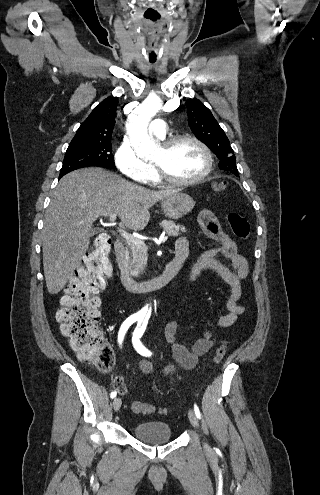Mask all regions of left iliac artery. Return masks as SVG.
<instances>
[{
	"instance_id": "obj_1",
	"label": "left iliac artery",
	"mask_w": 320,
	"mask_h": 495,
	"mask_svg": "<svg viewBox=\"0 0 320 495\" xmlns=\"http://www.w3.org/2000/svg\"><path fill=\"white\" fill-rule=\"evenodd\" d=\"M147 326V320H142L138 323L137 327L135 328L133 332V337H132V343L134 348L138 353H140L143 356H151L152 353L141 343L140 338L142 337L143 333L145 332ZM194 411L196 416L200 419L201 413L198 408V406L195 404L194 405Z\"/></svg>"
}]
</instances>
